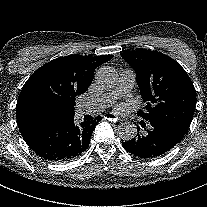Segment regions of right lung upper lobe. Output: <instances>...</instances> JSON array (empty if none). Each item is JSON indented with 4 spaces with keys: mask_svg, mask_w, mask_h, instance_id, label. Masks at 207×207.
<instances>
[{
    "mask_svg": "<svg viewBox=\"0 0 207 207\" xmlns=\"http://www.w3.org/2000/svg\"><path fill=\"white\" fill-rule=\"evenodd\" d=\"M113 55H71L54 59L24 84L16 105L22 137L28 138L74 115L76 97L88 90L95 69Z\"/></svg>",
    "mask_w": 207,
    "mask_h": 207,
    "instance_id": "obj_1",
    "label": "right lung upper lobe"
}]
</instances>
